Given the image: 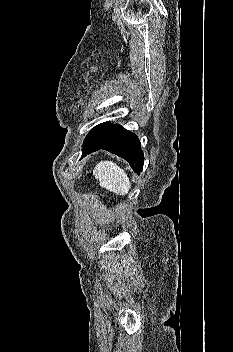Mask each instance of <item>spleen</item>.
I'll return each mask as SVG.
<instances>
[{
  "label": "spleen",
  "mask_w": 233,
  "mask_h": 352,
  "mask_svg": "<svg viewBox=\"0 0 233 352\" xmlns=\"http://www.w3.org/2000/svg\"><path fill=\"white\" fill-rule=\"evenodd\" d=\"M93 175L101 187L115 194L126 195L131 188L125 171L112 161L99 162L93 170Z\"/></svg>",
  "instance_id": "1"
}]
</instances>
